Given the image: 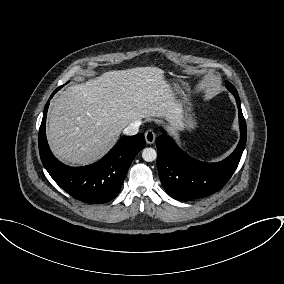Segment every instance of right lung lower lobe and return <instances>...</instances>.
I'll list each match as a JSON object with an SVG mask.
<instances>
[{
	"label": "right lung lower lobe",
	"mask_w": 284,
	"mask_h": 284,
	"mask_svg": "<svg viewBox=\"0 0 284 284\" xmlns=\"http://www.w3.org/2000/svg\"><path fill=\"white\" fill-rule=\"evenodd\" d=\"M50 96L39 129L41 161L53 180L73 198L86 203L102 204L120 192L127 171L136 154L146 143L142 133L121 138L101 160L88 166L69 167L58 161L49 149L45 124Z\"/></svg>",
	"instance_id": "1"
}]
</instances>
